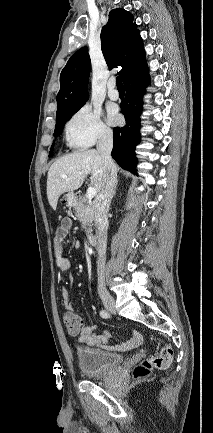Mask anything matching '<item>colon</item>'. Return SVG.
Listing matches in <instances>:
<instances>
[{
  "mask_svg": "<svg viewBox=\"0 0 213 433\" xmlns=\"http://www.w3.org/2000/svg\"><path fill=\"white\" fill-rule=\"evenodd\" d=\"M62 320L68 331L72 334L77 333L82 326L81 314L72 308H67L62 314ZM173 361V349L169 345L160 348L157 355L144 360L135 367L133 376L140 379L148 376L153 369H166Z\"/></svg>",
  "mask_w": 213,
  "mask_h": 433,
  "instance_id": "obj_1",
  "label": "colon"
}]
</instances>
